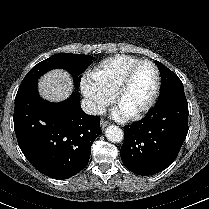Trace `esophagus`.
Masks as SVG:
<instances>
[{"label":"esophagus","instance_id":"esophagus-1","mask_svg":"<svg viewBox=\"0 0 209 209\" xmlns=\"http://www.w3.org/2000/svg\"><path fill=\"white\" fill-rule=\"evenodd\" d=\"M109 122L108 121H105V120H101V128L104 130L107 126H108Z\"/></svg>","mask_w":209,"mask_h":209}]
</instances>
